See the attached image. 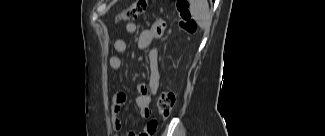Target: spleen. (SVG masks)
Wrapping results in <instances>:
<instances>
[{"label":"spleen","mask_w":325,"mask_h":136,"mask_svg":"<svg viewBox=\"0 0 325 136\" xmlns=\"http://www.w3.org/2000/svg\"><path fill=\"white\" fill-rule=\"evenodd\" d=\"M193 18L198 22L200 27L209 28L211 25V16L209 6L206 0L194 1L191 6Z\"/></svg>","instance_id":"obj_1"}]
</instances>
